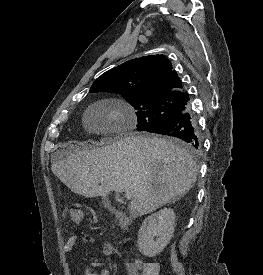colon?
Instances as JSON below:
<instances>
[{"instance_id": "colon-1", "label": "colon", "mask_w": 263, "mask_h": 275, "mask_svg": "<svg viewBox=\"0 0 263 275\" xmlns=\"http://www.w3.org/2000/svg\"><path fill=\"white\" fill-rule=\"evenodd\" d=\"M69 216L71 221L79 223L83 218V213L79 209H70ZM133 264L139 268L140 271L143 270L147 275H153L154 268L150 264H147L140 259H137Z\"/></svg>"}]
</instances>
